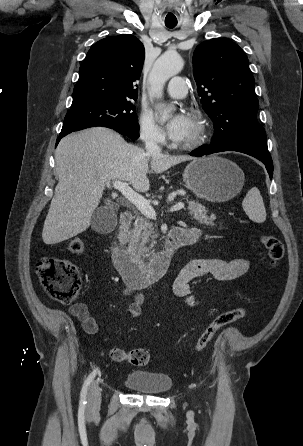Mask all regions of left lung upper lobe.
I'll return each mask as SVG.
<instances>
[{
	"label": "left lung upper lobe",
	"instance_id": "5c2ea615",
	"mask_svg": "<svg viewBox=\"0 0 303 446\" xmlns=\"http://www.w3.org/2000/svg\"><path fill=\"white\" fill-rule=\"evenodd\" d=\"M193 73L203 108L214 123L212 147L238 146L269 153L254 78L243 50L224 38L201 43L194 51Z\"/></svg>",
	"mask_w": 303,
	"mask_h": 446
}]
</instances>
